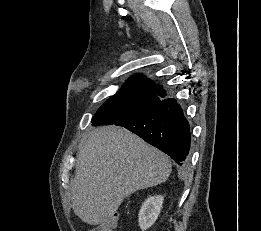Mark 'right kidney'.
Instances as JSON below:
<instances>
[{
	"instance_id": "ca27d5eb",
	"label": "right kidney",
	"mask_w": 261,
	"mask_h": 231,
	"mask_svg": "<svg viewBox=\"0 0 261 231\" xmlns=\"http://www.w3.org/2000/svg\"><path fill=\"white\" fill-rule=\"evenodd\" d=\"M163 204V196L156 195L149 197L139 212L138 223L142 231L150 228L157 220Z\"/></svg>"
}]
</instances>
